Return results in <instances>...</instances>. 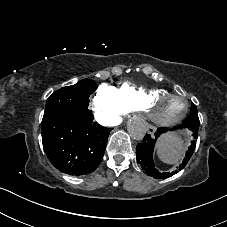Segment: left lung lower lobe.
Instances as JSON below:
<instances>
[{
  "label": "left lung lower lobe",
  "instance_id": "left-lung-lower-lobe-1",
  "mask_svg": "<svg viewBox=\"0 0 227 227\" xmlns=\"http://www.w3.org/2000/svg\"><path fill=\"white\" fill-rule=\"evenodd\" d=\"M184 128L181 125L177 126V129ZM192 131L194 136V141H192V144L190 145L188 151L186 152V156L182 162V164L179 166V170L183 169L184 166L188 163L189 159L191 158L195 146H196V139L198 137V130L195 129H189ZM168 131V128H159L157 132L155 133V138H152L150 134L145 135L143 142L139 143L136 147V158L137 162L140 163L143 170L150 176L160 179V178H168L171 177L173 174L177 173L178 171L174 172H160L154 164L153 161V150L154 145L156 143L157 138L160 136V134L165 133Z\"/></svg>",
  "mask_w": 227,
  "mask_h": 227
}]
</instances>
